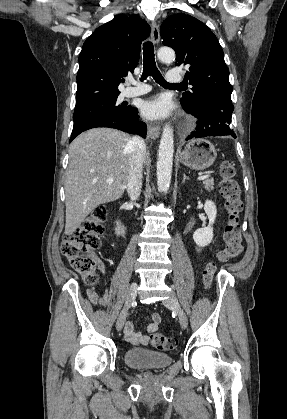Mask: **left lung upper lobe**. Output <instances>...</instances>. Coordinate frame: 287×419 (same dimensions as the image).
Returning <instances> with one entry per match:
<instances>
[{
  "label": "left lung upper lobe",
  "instance_id": "1",
  "mask_svg": "<svg viewBox=\"0 0 287 419\" xmlns=\"http://www.w3.org/2000/svg\"><path fill=\"white\" fill-rule=\"evenodd\" d=\"M163 44L176 52V66H186V80L191 91L183 93L180 102L194 109L204 99H231L232 85L223 50L213 32L201 21L186 14L169 16L160 29Z\"/></svg>",
  "mask_w": 287,
  "mask_h": 419
}]
</instances>
